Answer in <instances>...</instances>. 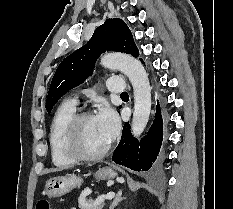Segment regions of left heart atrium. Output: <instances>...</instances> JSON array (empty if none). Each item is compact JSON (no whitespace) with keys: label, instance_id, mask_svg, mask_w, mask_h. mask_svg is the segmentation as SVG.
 Listing matches in <instances>:
<instances>
[{"label":"left heart atrium","instance_id":"1","mask_svg":"<svg viewBox=\"0 0 233 209\" xmlns=\"http://www.w3.org/2000/svg\"><path fill=\"white\" fill-rule=\"evenodd\" d=\"M95 120L107 141H111L119 131V121L115 112L103 106L95 115Z\"/></svg>","mask_w":233,"mask_h":209}]
</instances>
